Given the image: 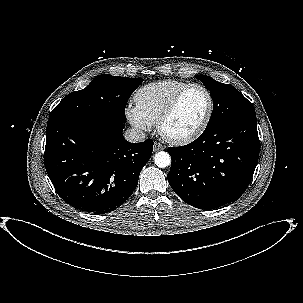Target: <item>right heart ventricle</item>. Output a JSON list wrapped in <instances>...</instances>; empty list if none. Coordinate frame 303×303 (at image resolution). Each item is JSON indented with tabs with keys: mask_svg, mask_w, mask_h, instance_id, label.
Masks as SVG:
<instances>
[{
	"mask_svg": "<svg viewBox=\"0 0 303 303\" xmlns=\"http://www.w3.org/2000/svg\"><path fill=\"white\" fill-rule=\"evenodd\" d=\"M188 82L180 80H165L147 84L141 87L134 96L136 107L152 124H155L173 99V97Z\"/></svg>",
	"mask_w": 303,
	"mask_h": 303,
	"instance_id": "right-heart-ventricle-1",
	"label": "right heart ventricle"
}]
</instances>
